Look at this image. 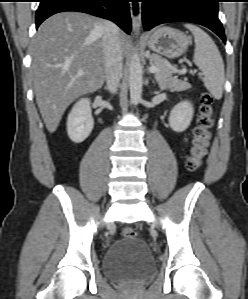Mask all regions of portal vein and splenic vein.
<instances>
[{"mask_svg":"<svg viewBox=\"0 0 248 299\" xmlns=\"http://www.w3.org/2000/svg\"><path fill=\"white\" fill-rule=\"evenodd\" d=\"M149 71L151 72V73H157V72H159L160 70H159V68H157V67H155V66H151L150 68H149ZM187 72V69L186 68H183L181 71H179L178 73L179 74H185ZM80 75L82 74V73H79Z\"/></svg>","mask_w":248,"mask_h":299,"instance_id":"obj_1","label":"portal vein and splenic vein"}]
</instances>
